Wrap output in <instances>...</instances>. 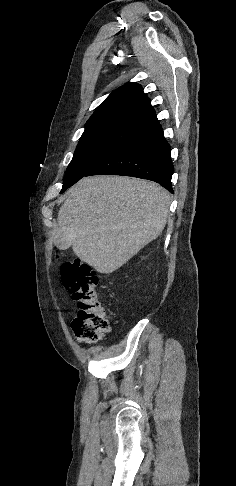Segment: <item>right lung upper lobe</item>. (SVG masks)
I'll return each mask as SVG.
<instances>
[{
	"label": "right lung upper lobe",
	"instance_id": "right-lung-upper-lobe-1",
	"mask_svg": "<svg viewBox=\"0 0 236 486\" xmlns=\"http://www.w3.org/2000/svg\"><path fill=\"white\" fill-rule=\"evenodd\" d=\"M155 114L149 98L137 83H126L114 90L86 123L85 131L113 125H141Z\"/></svg>",
	"mask_w": 236,
	"mask_h": 486
}]
</instances>
